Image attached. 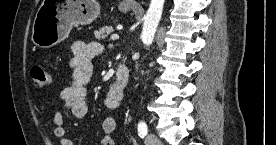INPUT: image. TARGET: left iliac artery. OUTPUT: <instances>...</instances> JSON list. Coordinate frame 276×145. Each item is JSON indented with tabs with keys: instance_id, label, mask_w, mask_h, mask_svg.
Returning a JSON list of instances; mask_svg holds the SVG:
<instances>
[{
	"instance_id": "left-iliac-artery-1",
	"label": "left iliac artery",
	"mask_w": 276,
	"mask_h": 145,
	"mask_svg": "<svg viewBox=\"0 0 276 145\" xmlns=\"http://www.w3.org/2000/svg\"><path fill=\"white\" fill-rule=\"evenodd\" d=\"M148 127L144 121H140L138 124V133L141 138H144L147 135Z\"/></svg>"
}]
</instances>
